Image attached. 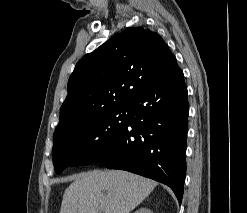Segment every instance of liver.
<instances>
[{
  "mask_svg": "<svg viewBox=\"0 0 247 213\" xmlns=\"http://www.w3.org/2000/svg\"><path fill=\"white\" fill-rule=\"evenodd\" d=\"M157 182L122 170H94L74 177L60 213H130Z\"/></svg>",
  "mask_w": 247,
  "mask_h": 213,
  "instance_id": "6515ba94",
  "label": "liver"
}]
</instances>
